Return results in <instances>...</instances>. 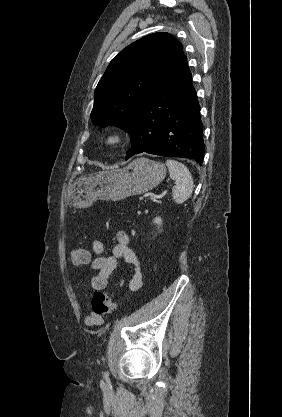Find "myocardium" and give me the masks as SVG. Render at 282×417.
Returning <instances> with one entry per match:
<instances>
[{
	"label": "myocardium",
	"mask_w": 282,
	"mask_h": 417,
	"mask_svg": "<svg viewBox=\"0 0 282 417\" xmlns=\"http://www.w3.org/2000/svg\"><path fill=\"white\" fill-rule=\"evenodd\" d=\"M108 142L112 144H117L121 142V136L117 133L110 134L108 136Z\"/></svg>",
	"instance_id": "myocardium-1"
}]
</instances>
